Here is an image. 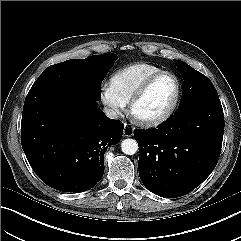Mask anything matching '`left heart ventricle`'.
<instances>
[{"instance_id": "b2bd125f", "label": "left heart ventricle", "mask_w": 241, "mask_h": 241, "mask_svg": "<svg viewBox=\"0 0 241 241\" xmlns=\"http://www.w3.org/2000/svg\"><path fill=\"white\" fill-rule=\"evenodd\" d=\"M176 93V82L171 76L159 78L137 104L135 112L142 118L159 116L171 105Z\"/></svg>"}]
</instances>
